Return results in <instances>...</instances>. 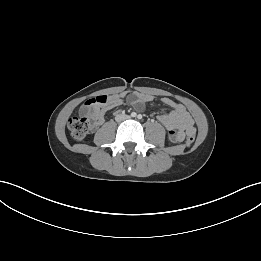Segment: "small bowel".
<instances>
[{"mask_svg": "<svg viewBox=\"0 0 261 261\" xmlns=\"http://www.w3.org/2000/svg\"><path fill=\"white\" fill-rule=\"evenodd\" d=\"M125 95L115 94L107 96L104 103H90L86 101L80 107V113L89 115L93 125L100 126L104 122L105 113L123 103ZM154 96L144 93H131L127 96V102L137 110H142L144 103L154 101ZM163 103L170 106L172 110L161 114L158 119L168 130V140L171 143L182 142L189 134H195L194 122L186 108L169 98H163Z\"/></svg>", "mask_w": 261, "mask_h": 261, "instance_id": "1", "label": "small bowel"}]
</instances>
